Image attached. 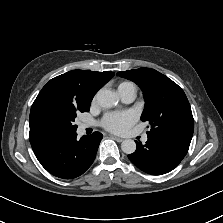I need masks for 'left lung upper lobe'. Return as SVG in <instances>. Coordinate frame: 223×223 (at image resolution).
<instances>
[{
  "label": "left lung upper lobe",
  "mask_w": 223,
  "mask_h": 223,
  "mask_svg": "<svg viewBox=\"0 0 223 223\" xmlns=\"http://www.w3.org/2000/svg\"><path fill=\"white\" fill-rule=\"evenodd\" d=\"M142 89L145 108L143 122L150 124L148 135H157L190 145L194 120L184 91L167 76L151 68L118 72Z\"/></svg>",
  "instance_id": "obj_1"
}]
</instances>
